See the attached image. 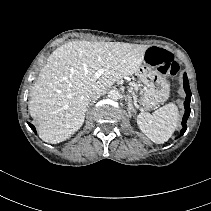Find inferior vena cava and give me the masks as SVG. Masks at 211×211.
<instances>
[{
    "label": "inferior vena cava",
    "mask_w": 211,
    "mask_h": 211,
    "mask_svg": "<svg viewBox=\"0 0 211 211\" xmlns=\"http://www.w3.org/2000/svg\"><path fill=\"white\" fill-rule=\"evenodd\" d=\"M103 93H104V91H102V90H97V91H95V92L92 94L91 99L96 100V99H98L100 96H102Z\"/></svg>",
    "instance_id": "inferior-vena-cava-1"
}]
</instances>
